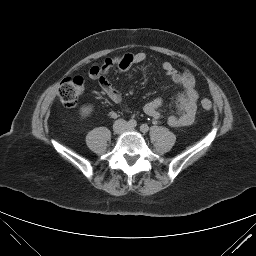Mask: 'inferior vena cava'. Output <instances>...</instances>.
Returning <instances> with one entry per match:
<instances>
[{
    "label": "inferior vena cava",
    "instance_id": "obj_1",
    "mask_svg": "<svg viewBox=\"0 0 256 256\" xmlns=\"http://www.w3.org/2000/svg\"><path fill=\"white\" fill-rule=\"evenodd\" d=\"M125 122H126L125 120L120 119V120H117V121H116V124H118V123H119V124H125Z\"/></svg>",
    "mask_w": 256,
    "mask_h": 256
}]
</instances>
